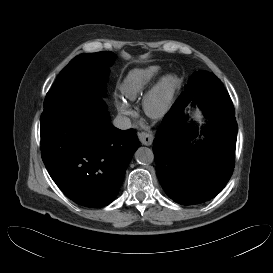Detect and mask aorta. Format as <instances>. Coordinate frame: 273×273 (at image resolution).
I'll return each instance as SVG.
<instances>
[{"instance_id":"aorta-1","label":"aorta","mask_w":273,"mask_h":273,"mask_svg":"<svg viewBox=\"0 0 273 273\" xmlns=\"http://www.w3.org/2000/svg\"><path fill=\"white\" fill-rule=\"evenodd\" d=\"M135 159L139 164L149 165L154 161V153L150 148L139 147L135 152Z\"/></svg>"}]
</instances>
